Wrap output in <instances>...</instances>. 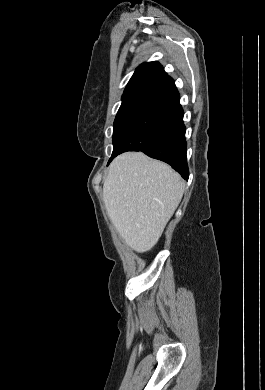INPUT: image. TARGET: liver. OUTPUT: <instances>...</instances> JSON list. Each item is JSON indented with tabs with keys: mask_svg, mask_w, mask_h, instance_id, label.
<instances>
[{
	"mask_svg": "<svg viewBox=\"0 0 265 390\" xmlns=\"http://www.w3.org/2000/svg\"><path fill=\"white\" fill-rule=\"evenodd\" d=\"M184 189L185 182L167 164L142 152H127L110 165L103 201L125 243L143 253L158 242Z\"/></svg>",
	"mask_w": 265,
	"mask_h": 390,
	"instance_id": "liver-1",
	"label": "liver"
}]
</instances>
